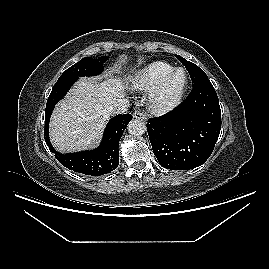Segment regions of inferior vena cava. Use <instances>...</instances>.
Wrapping results in <instances>:
<instances>
[{"label":"inferior vena cava","mask_w":269,"mask_h":269,"mask_svg":"<svg viewBox=\"0 0 269 269\" xmlns=\"http://www.w3.org/2000/svg\"><path fill=\"white\" fill-rule=\"evenodd\" d=\"M129 107V100L127 99H119L112 105L108 107V112L112 114H123L127 111Z\"/></svg>","instance_id":"1"}]
</instances>
